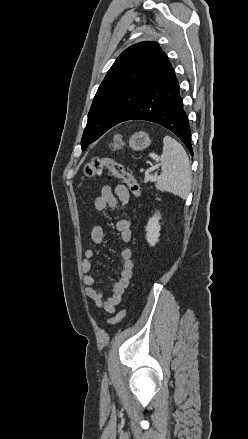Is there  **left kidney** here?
<instances>
[{
  "mask_svg": "<svg viewBox=\"0 0 248 439\" xmlns=\"http://www.w3.org/2000/svg\"><path fill=\"white\" fill-rule=\"evenodd\" d=\"M161 219V215L159 212H156L148 221L145 230H146V239L150 246H155V244L159 241L161 226L159 220Z\"/></svg>",
  "mask_w": 248,
  "mask_h": 439,
  "instance_id": "1",
  "label": "left kidney"
}]
</instances>
